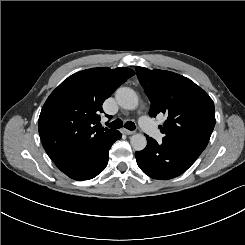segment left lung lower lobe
<instances>
[{
  "label": "left lung lower lobe",
  "mask_w": 245,
  "mask_h": 245,
  "mask_svg": "<svg viewBox=\"0 0 245 245\" xmlns=\"http://www.w3.org/2000/svg\"><path fill=\"white\" fill-rule=\"evenodd\" d=\"M147 146L137 151L135 157L139 168L149 177L168 180L180 176L199 157L185 146L163 139L158 144L146 135Z\"/></svg>",
  "instance_id": "0a47b994"
}]
</instances>
